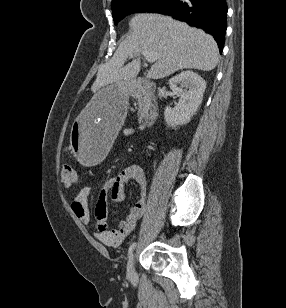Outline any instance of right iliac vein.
<instances>
[{
    "label": "right iliac vein",
    "instance_id": "1",
    "mask_svg": "<svg viewBox=\"0 0 286 308\" xmlns=\"http://www.w3.org/2000/svg\"><path fill=\"white\" fill-rule=\"evenodd\" d=\"M127 275L129 278H133L135 276V254H131L127 267Z\"/></svg>",
    "mask_w": 286,
    "mask_h": 308
}]
</instances>
